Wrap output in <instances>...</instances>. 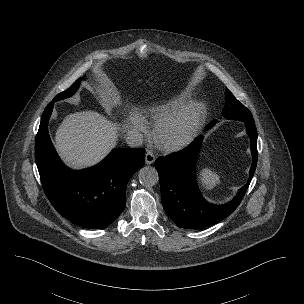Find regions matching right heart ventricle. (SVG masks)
Listing matches in <instances>:
<instances>
[{
	"label": "right heart ventricle",
	"instance_id": "e07e8e85",
	"mask_svg": "<svg viewBox=\"0 0 304 304\" xmlns=\"http://www.w3.org/2000/svg\"><path fill=\"white\" fill-rule=\"evenodd\" d=\"M189 100L188 95H181L172 100L166 101L161 104L153 105L147 109L146 115L154 122L157 123L162 118L169 114L175 113L184 107Z\"/></svg>",
	"mask_w": 304,
	"mask_h": 304
}]
</instances>
